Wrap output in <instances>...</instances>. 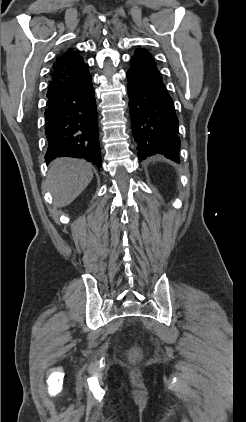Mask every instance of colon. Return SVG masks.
Listing matches in <instances>:
<instances>
[{
	"label": "colon",
	"instance_id": "5ec220e1",
	"mask_svg": "<svg viewBox=\"0 0 246 422\" xmlns=\"http://www.w3.org/2000/svg\"><path fill=\"white\" fill-rule=\"evenodd\" d=\"M132 356L136 357L137 356V352L135 350L132 351Z\"/></svg>",
	"mask_w": 246,
	"mask_h": 422
}]
</instances>
